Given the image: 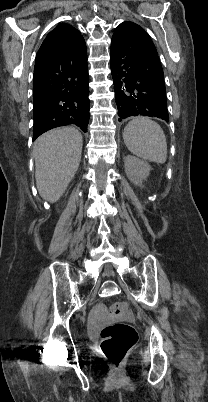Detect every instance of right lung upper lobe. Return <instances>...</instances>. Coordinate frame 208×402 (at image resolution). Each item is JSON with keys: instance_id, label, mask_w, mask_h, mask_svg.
Here are the masks:
<instances>
[{"instance_id": "cb5924a9", "label": "right lung upper lobe", "mask_w": 208, "mask_h": 402, "mask_svg": "<svg viewBox=\"0 0 208 402\" xmlns=\"http://www.w3.org/2000/svg\"><path fill=\"white\" fill-rule=\"evenodd\" d=\"M80 36L81 33L77 29L61 23L47 35L37 55L66 48Z\"/></svg>"}]
</instances>
